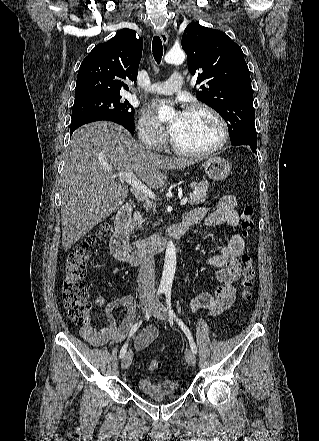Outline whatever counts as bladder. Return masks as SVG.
<instances>
[{
	"label": "bladder",
	"mask_w": 319,
	"mask_h": 441,
	"mask_svg": "<svg viewBox=\"0 0 319 441\" xmlns=\"http://www.w3.org/2000/svg\"><path fill=\"white\" fill-rule=\"evenodd\" d=\"M179 385L172 379L141 378L137 382L140 395L148 398L173 397L178 394Z\"/></svg>",
	"instance_id": "bladder-1"
}]
</instances>
